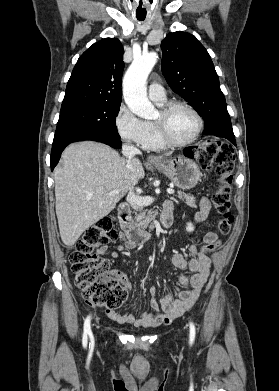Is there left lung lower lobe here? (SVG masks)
Here are the masks:
<instances>
[{"label": "left lung lower lobe", "instance_id": "1", "mask_svg": "<svg viewBox=\"0 0 279 391\" xmlns=\"http://www.w3.org/2000/svg\"><path fill=\"white\" fill-rule=\"evenodd\" d=\"M224 138L228 139V140L231 141L234 145H236L235 137H234L233 135H224Z\"/></svg>", "mask_w": 279, "mask_h": 391}]
</instances>
